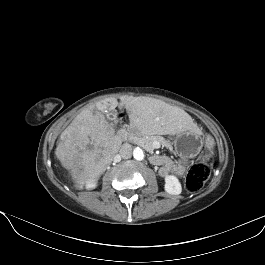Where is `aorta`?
I'll use <instances>...</instances> for the list:
<instances>
[{"label":"aorta","instance_id":"obj_1","mask_svg":"<svg viewBox=\"0 0 265 265\" xmlns=\"http://www.w3.org/2000/svg\"><path fill=\"white\" fill-rule=\"evenodd\" d=\"M133 157L138 161H142L144 159V151L140 147L134 148Z\"/></svg>","mask_w":265,"mask_h":265}]
</instances>
